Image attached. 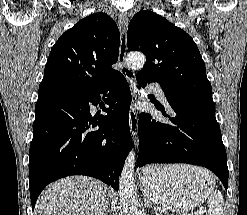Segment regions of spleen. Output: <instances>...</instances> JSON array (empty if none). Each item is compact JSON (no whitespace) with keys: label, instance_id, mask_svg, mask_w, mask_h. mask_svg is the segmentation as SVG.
Listing matches in <instances>:
<instances>
[{"label":"spleen","instance_id":"obj_1","mask_svg":"<svg viewBox=\"0 0 247 215\" xmlns=\"http://www.w3.org/2000/svg\"><path fill=\"white\" fill-rule=\"evenodd\" d=\"M208 215H223L224 199L220 191L213 188L208 194Z\"/></svg>","mask_w":247,"mask_h":215}]
</instances>
